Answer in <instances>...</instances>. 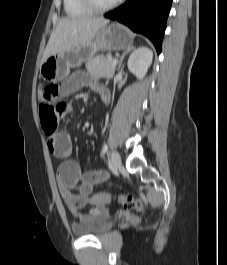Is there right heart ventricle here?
Returning a JSON list of instances; mask_svg holds the SVG:
<instances>
[{"label":"right heart ventricle","mask_w":227,"mask_h":265,"mask_svg":"<svg viewBox=\"0 0 227 265\" xmlns=\"http://www.w3.org/2000/svg\"><path fill=\"white\" fill-rule=\"evenodd\" d=\"M63 6L65 13L70 17H78L90 13L81 0H63Z\"/></svg>","instance_id":"1"}]
</instances>
